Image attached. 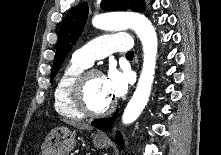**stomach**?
Listing matches in <instances>:
<instances>
[{"label": "stomach", "instance_id": "stomach-1", "mask_svg": "<svg viewBox=\"0 0 221 155\" xmlns=\"http://www.w3.org/2000/svg\"><path fill=\"white\" fill-rule=\"evenodd\" d=\"M96 148L107 146V139L98 134L93 138ZM76 146V132L67 127H57L47 135L41 147V155H68Z\"/></svg>", "mask_w": 221, "mask_h": 155}]
</instances>
